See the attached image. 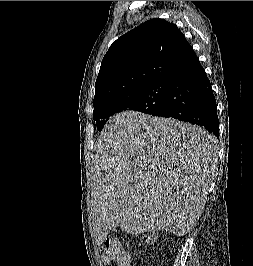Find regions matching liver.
<instances>
[{"mask_svg": "<svg viewBox=\"0 0 253 266\" xmlns=\"http://www.w3.org/2000/svg\"><path fill=\"white\" fill-rule=\"evenodd\" d=\"M217 155L215 137L196 125L133 111L112 116L93 160L96 244L116 227L188 233L204 210Z\"/></svg>", "mask_w": 253, "mask_h": 266, "instance_id": "liver-1", "label": "liver"}]
</instances>
